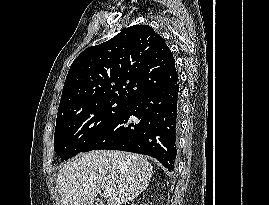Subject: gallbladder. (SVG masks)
I'll list each match as a JSON object with an SVG mask.
<instances>
[{
  "instance_id": "gallbladder-1",
  "label": "gallbladder",
  "mask_w": 269,
  "mask_h": 205,
  "mask_svg": "<svg viewBox=\"0 0 269 205\" xmlns=\"http://www.w3.org/2000/svg\"><path fill=\"white\" fill-rule=\"evenodd\" d=\"M98 205H104L103 203H99Z\"/></svg>"
}]
</instances>
